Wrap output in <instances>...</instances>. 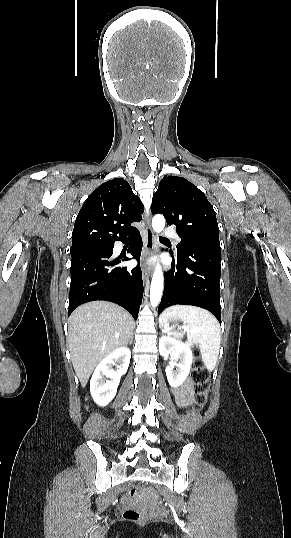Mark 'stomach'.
Wrapping results in <instances>:
<instances>
[{"instance_id": "stomach-1", "label": "stomach", "mask_w": 291, "mask_h": 538, "mask_svg": "<svg viewBox=\"0 0 291 538\" xmlns=\"http://www.w3.org/2000/svg\"><path fill=\"white\" fill-rule=\"evenodd\" d=\"M173 320H174V318H171L169 321L171 322V321H173ZM169 321H168V322H169Z\"/></svg>"}]
</instances>
